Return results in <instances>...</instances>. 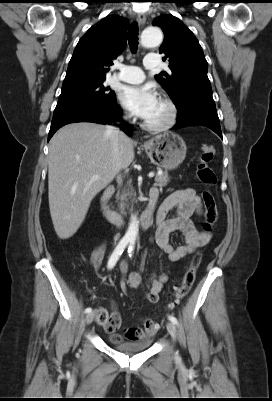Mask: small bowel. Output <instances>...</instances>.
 Returning a JSON list of instances; mask_svg holds the SVG:
<instances>
[{"mask_svg": "<svg viewBox=\"0 0 272 401\" xmlns=\"http://www.w3.org/2000/svg\"><path fill=\"white\" fill-rule=\"evenodd\" d=\"M154 192H158V190L151 189L150 194ZM170 212H174V214L168 217ZM201 213V200L197 196L195 190L191 188L173 192L160 204L156 213L157 228L154 235V242L167 254L170 261H179L209 242L210 234L198 230L191 220L193 215H200ZM174 232H180L184 236L185 241L183 244L173 246L170 243V235ZM104 253V243L97 245L92 251L91 263L96 269L100 268ZM144 259L145 255L142 257L140 270L134 271L129 275H126L127 263L124 262L121 265L122 279L120 286L124 292L127 287L133 289L142 287L140 271L142 270ZM167 280V273H152L150 275L145 290V298L148 302L156 303L158 301L159 294ZM111 315V322L105 325L104 328L112 339L120 341L122 337L118 335L116 331L120 328L121 318L116 306H113ZM158 329V323L145 320L140 327H127L124 336L130 341H141L145 337L154 334Z\"/></svg>", "mask_w": 272, "mask_h": 401, "instance_id": "small-bowel-1", "label": "small bowel"}]
</instances>
